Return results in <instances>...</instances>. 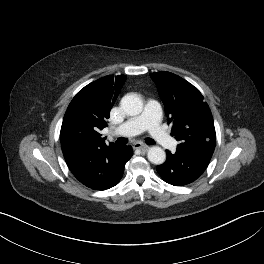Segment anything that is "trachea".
<instances>
[{
	"label": "trachea",
	"instance_id": "1",
	"mask_svg": "<svg viewBox=\"0 0 264 264\" xmlns=\"http://www.w3.org/2000/svg\"><path fill=\"white\" fill-rule=\"evenodd\" d=\"M145 142H146L147 144H149V145H153V144H155V141H154L153 139H151V138H147V139L145 140ZM116 143H118V144H126V143H127V139H126V138H123V137H120V138H118V139L116 140Z\"/></svg>",
	"mask_w": 264,
	"mask_h": 264
}]
</instances>
